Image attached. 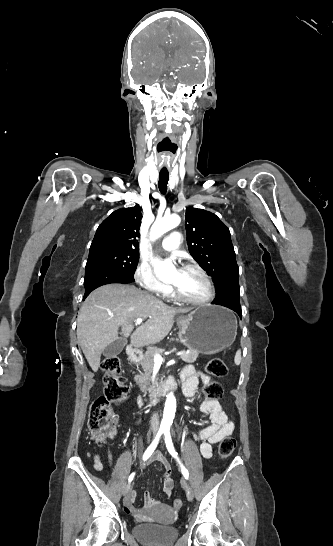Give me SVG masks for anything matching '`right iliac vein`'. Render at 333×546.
Wrapping results in <instances>:
<instances>
[{
	"instance_id": "1",
	"label": "right iliac vein",
	"mask_w": 333,
	"mask_h": 546,
	"mask_svg": "<svg viewBox=\"0 0 333 546\" xmlns=\"http://www.w3.org/2000/svg\"><path fill=\"white\" fill-rule=\"evenodd\" d=\"M131 489L130 484H127L123 489V495H126Z\"/></svg>"
}]
</instances>
